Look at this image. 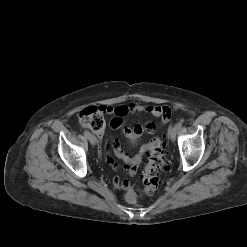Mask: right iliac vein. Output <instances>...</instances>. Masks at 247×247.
<instances>
[{"instance_id": "right-iliac-vein-1", "label": "right iliac vein", "mask_w": 247, "mask_h": 247, "mask_svg": "<svg viewBox=\"0 0 247 247\" xmlns=\"http://www.w3.org/2000/svg\"><path fill=\"white\" fill-rule=\"evenodd\" d=\"M88 140L92 145H96L97 143V138L92 134H90V136L88 137Z\"/></svg>"}]
</instances>
